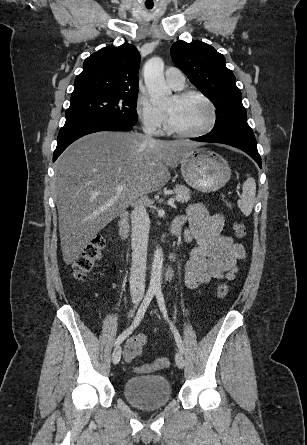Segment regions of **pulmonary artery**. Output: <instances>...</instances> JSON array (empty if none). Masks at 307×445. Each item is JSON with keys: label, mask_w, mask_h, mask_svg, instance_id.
Segmentation results:
<instances>
[{"label": "pulmonary artery", "mask_w": 307, "mask_h": 445, "mask_svg": "<svg viewBox=\"0 0 307 445\" xmlns=\"http://www.w3.org/2000/svg\"><path fill=\"white\" fill-rule=\"evenodd\" d=\"M165 76L168 84L175 89H180L185 84V80L182 77V69H168L165 72Z\"/></svg>", "instance_id": "e3ab8cb5"}]
</instances>
